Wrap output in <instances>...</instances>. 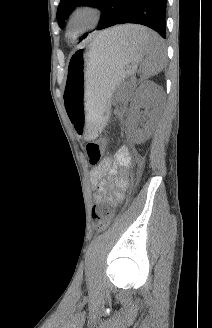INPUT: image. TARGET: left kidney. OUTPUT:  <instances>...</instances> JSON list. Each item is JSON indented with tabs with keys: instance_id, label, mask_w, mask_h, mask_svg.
Returning a JSON list of instances; mask_svg holds the SVG:
<instances>
[{
	"instance_id": "obj_1",
	"label": "left kidney",
	"mask_w": 212,
	"mask_h": 328,
	"mask_svg": "<svg viewBox=\"0 0 212 328\" xmlns=\"http://www.w3.org/2000/svg\"><path fill=\"white\" fill-rule=\"evenodd\" d=\"M160 97L159 88L152 82L142 84L135 92L131 105L130 114L128 116V127L133 133V140L136 143L146 141L152 134L154 129V120L151 113H149L150 120L143 125L141 129L137 128L139 121L140 108L150 107L158 102Z\"/></svg>"
}]
</instances>
